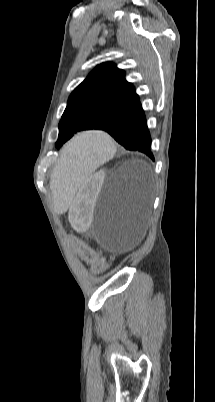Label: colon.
<instances>
[{
    "mask_svg": "<svg viewBox=\"0 0 215 402\" xmlns=\"http://www.w3.org/2000/svg\"><path fill=\"white\" fill-rule=\"evenodd\" d=\"M66 243H73V248L78 251L80 260H95L98 268L106 266L104 260L105 253L103 251H95L93 245H85L83 240L78 236H72L69 232L63 234Z\"/></svg>",
    "mask_w": 215,
    "mask_h": 402,
    "instance_id": "5ec220e1",
    "label": "colon"
}]
</instances>
